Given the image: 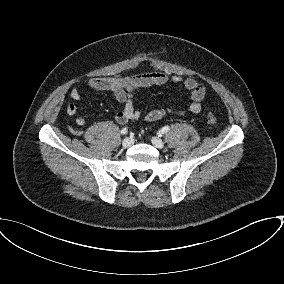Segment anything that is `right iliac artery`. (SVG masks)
<instances>
[{
    "mask_svg": "<svg viewBox=\"0 0 284 284\" xmlns=\"http://www.w3.org/2000/svg\"><path fill=\"white\" fill-rule=\"evenodd\" d=\"M127 132H128L127 128H123V129L121 130V134H127Z\"/></svg>",
    "mask_w": 284,
    "mask_h": 284,
    "instance_id": "obj_1",
    "label": "right iliac artery"
}]
</instances>
